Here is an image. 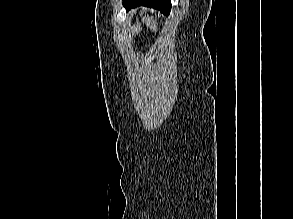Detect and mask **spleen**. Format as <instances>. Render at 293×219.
Segmentation results:
<instances>
[{
	"label": "spleen",
	"instance_id": "obj_1",
	"mask_svg": "<svg viewBox=\"0 0 293 219\" xmlns=\"http://www.w3.org/2000/svg\"><path fill=\"white\" fill-rule=\"evenodd\" d=\"M143 22L146 24L147 28H150L152 32L158 31V23L156 19H153V17H143Z\"/></svg>",
	"mask_w": 293,
	"mask_h": 219
}]
</instances>
